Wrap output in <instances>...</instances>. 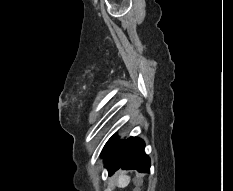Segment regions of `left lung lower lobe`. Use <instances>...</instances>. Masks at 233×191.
<instances>
[{
	"label": "left lung lower lobe",
	"mask_w": 233,
	"mask_h": 191,
	"mask_svg": "<svg viewBox=\"0 0 233 191\" xmlns=\"http://www.w3.org/2000/svg\"><path fill=\"white\" fill-rule=\"evenodd\" d=\"M144 147V141L137 137L119 141L117 135H113L102 151L109 175L119 168L136 169L141 173L150 172V159L145 154Z\"/></svg>",
	"instance_id": "left-lung-lower-lobe-1"
}]
</instances>
